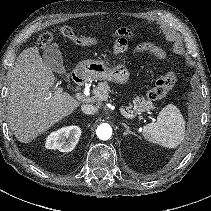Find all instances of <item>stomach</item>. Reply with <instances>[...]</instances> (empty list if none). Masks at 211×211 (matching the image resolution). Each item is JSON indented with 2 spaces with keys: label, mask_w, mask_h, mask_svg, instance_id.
<instances>
[{
  "label": "stomach",
  "mask_w": 211,
  "mask_h": 211,
  "mask_svg": "<svg viewBox=\"0 0 211 211\" xmlns=\"http://www.w3.org/2000/svg\"><path fill=\"white\" fill-rule=\"evenodd\" d=\"M77 70L94 79L108 80L118 84H127L130 77V73L124 65L108 68L104 62L96 60L79 62Z\"/></svg>",
  "instance_id": "stomach-1"
}]
</instances>
